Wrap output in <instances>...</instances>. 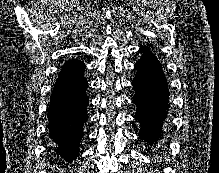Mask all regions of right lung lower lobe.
Masks as SVG:
<instances>
[{
    "instance_id": "obj_1",
    "label": "right lung lower lobe",
    "mask_w": 219,
    "mask_h": 173,
    "mask_svg": "<svg viewBox=\"0 0 219 173\" xmlns=\"http://www.w3.org/2000/svg\"><path fill=\"white\" fill-rule=\"evenodd\" d=\"M85 64L78 60L65 62L50 97L48 127L50 138L57 144V153L66 162L79 154L83 125L88 119L89 98L84 77Z\"/></svg>"
}]
</instances>
